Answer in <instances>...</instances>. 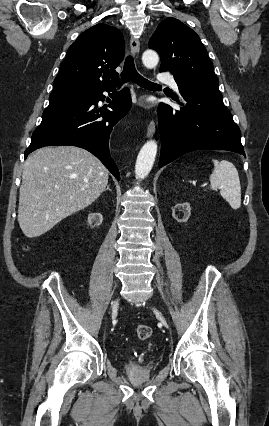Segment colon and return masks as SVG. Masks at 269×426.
Wrapping results in <instances>:
<instances>
[{"mask_svg":"<svg viewBox=\"0 0 269 426\" xmlns=\"http://www.w3.org/2000/svg\"><path fill=\"white\" fill-rule=\"evenodd\" d=\"M151 333V328L148 325L140 324L136 327V336L141 341L147 340Z\"/></svg>","mask_w":269,"mask_h":426,"instance_id":"5ec220e1","label":"colon"}]
</instances>
